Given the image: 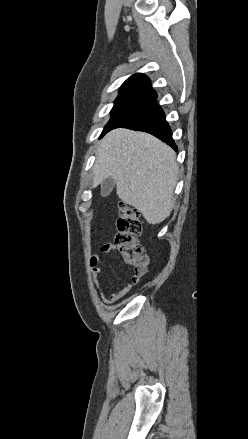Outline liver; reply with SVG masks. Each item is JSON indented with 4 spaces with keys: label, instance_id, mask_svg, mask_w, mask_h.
I'll use <instances>...</instances> for the list:
<instances>
[{
    "label": "liver",
    "instance_id": "1",
    "mask_svg": "<svg viewBox=\"0 0 248 439\" xmlns=\"http://www.w3.org/2000/svg\"><path fill=\"white\" fill-rule=\"evenodd\" d=\"M177 173L176 154L169 146L148 133L118 128L100 143L93 186L112 178L121 201L155 225L173 209Z\"/></svg>",
    "mask_w": 248,
    "mask_h": 439
}]
</instances>
